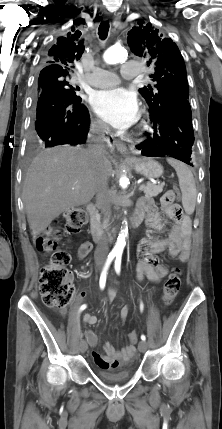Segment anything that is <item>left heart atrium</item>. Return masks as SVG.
Instances as JSON below:
<instances>
[{
	"label": "left heart atrium",
	"mask_w": 222,
	"mask_h": 429,
	"mask_svg": "<svg viewBox=\"0 0 222 429\" xmlns=\"http://www.w3.org/2000/svg\"><path fill=\"white\" fill-rule=\"evenodd\" d=\"M92 106L103 121L115 128H127L139 116L136 96L121 87L97 92L92 99Z\"/></svg>",
	"instance_id": "obj_1"
}]
</instances>
